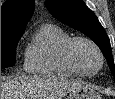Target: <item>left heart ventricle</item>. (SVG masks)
I'll return each mask as SVG.
<instances>
[{
    "mask_svg": "<svg viewBox=\"0 0 115 99\" xmlns=\"http://www.w3.org/2000/svg\"><path fill=\"white\" fill-rule=\"evenodd\" d=\"M77 62L88 72H94L99 68L100 58L94 48L86 43H77L74 48Z\"/></svg>",
    "mask_w": 115,
    "mask_h": 99,
    "instance_id": "obj_1",
    "label": "left heart ventricle"
}]
</instances>
